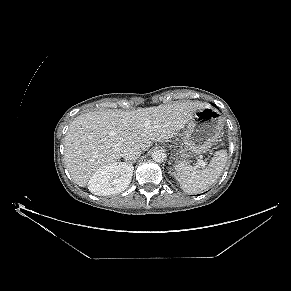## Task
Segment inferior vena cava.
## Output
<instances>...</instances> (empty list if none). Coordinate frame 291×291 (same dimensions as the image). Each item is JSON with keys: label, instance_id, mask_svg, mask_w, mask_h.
I'll return each mask as SVG.
<instances>
[{"label": "inferior vena cava", "instance_id": "602c4592", "mask_svg": "<svg viewBox=\"0 0 291 291\" xmlns=\"http://www.w3.org/2000/svg\"><path fill=\"white\" fill-rule=\"evenodd\" d=\"M141 155V149L136 146H126L122 151L123 158L128 162L136 161Z\"/></svg>", "mask_w": 291, "mask_h": 291}]
</instances>
